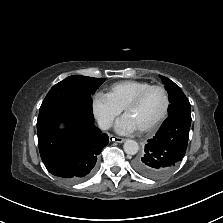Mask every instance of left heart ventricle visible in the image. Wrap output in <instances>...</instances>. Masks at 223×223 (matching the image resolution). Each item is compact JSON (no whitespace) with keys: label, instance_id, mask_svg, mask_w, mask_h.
<instances>
[{"label":"left heart ventricle","instance_id":"obj_1","mask_svg":"<svg viewBox=\"0 0 223 223\" xmlns=\"http://www.w3.org/2000/svg\"><path fill=\"white\" fill-rule=\"evenodd\" d=\"M165 107V96L159 89H153L142 101L125 115L135 124L137 129L149 126L162 114Z\"/></svg>","mask_w":223,"mask_h":223}]
</instances>
